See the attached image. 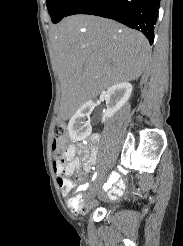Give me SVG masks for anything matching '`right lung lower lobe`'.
Listing matches in <instances>:
<instances>
[{
    "instance_id": "obj_1",
    "label": "right lung lower lobe",
    "mask_w": 183,
    "mask_h": 246,
    "mask_svg": "<svg viewBox=\"0 0 183 246\" xmlns=\"http://www.w3.org/2000/svg\"><path fill=\"white\" fill-rule=\"evenodd\" d=\"M159 4L160 0H77L66 16L90 14L114 19L142 32L151 44Z\"/></svg>"
}]
</instances>
